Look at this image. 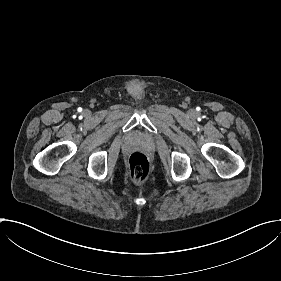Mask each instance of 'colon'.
Masks as SVG:
<instances>
[{
	"label": "colon",
	"instance_id": "5ec220e1",
	"mask_svg": "<svg viewBox=\"0 0 281 281\" xmlns=\"http://www.w3.org/2000/svg\"><path fill=\"white\" fill-rule=\"evenodd\" d=\"M127 168L132 180L140 182L148 177L151 164L144 154L134 152L128 159Z\"/></svg>",
	"mask_w": 281,
	"mask_h": 281
}]
</instances>
